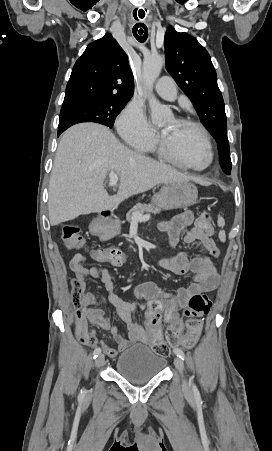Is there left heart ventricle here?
Listing matches in <instances>:
<instances>
[{
    "label": "left heart ventricle",
    "instance_id": "left-heart-ventricle-1",
    "mask_svg": "<svg viewBox=\"0 0 272 451\" xmlns=\"http://www.w3.org/2000/svg\"><path fill=\"white\" fill-rule=\"evenodd\" d=\"M166 140L181 161L193 168L202 169L209 162V153L199 134L190 126L178 123L170 118L162 125Z\"/></svg>",
    "mask_w": 272,
    "mask_h": 451
}]
</instances>
